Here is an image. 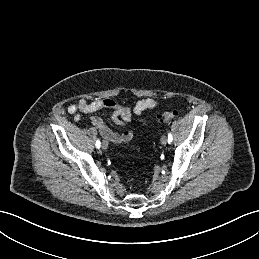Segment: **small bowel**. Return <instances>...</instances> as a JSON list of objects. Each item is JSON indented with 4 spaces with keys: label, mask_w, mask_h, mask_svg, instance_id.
<instances>
[{
    "label": "small bowel",
    "mask_w": 259,
    "mask_h": 259,
    "mask_svg": "<svg viewBox=\"0 0 259 259\" xmlns=\"http://www.w3.org/2000/svg\"><path fill=\"white\" fill-rule=\"evenodd\" d=\"M157 101L152 98H145L136 102L133 106L122 105L112 99H97L94 101H87L81 99L68 107V113L74 116V120L80 119V113H93L103 109L111 110V119L117 125H124L132 120L136 115L153 109L157 106ZM91 123L99 130L101 136L114 144L127 143L131 141L134 134L131 130H125L117 133L111 130L105 122L99 117H92Z\"/></svg>",
    "instance_id": "c3829d8e"
}]
</instances>
